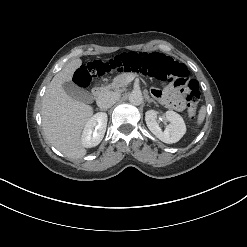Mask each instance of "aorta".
<instances>
[{"mask_svg":"<svg viewBox=\"0 0 247 247\" xmlns=\"http://www.w3.org/2000/svg\"><path fill=\"white\" fill-rule=\"evenodd\" d=\"M129 102L133 105H140L143 102V96L140 91H132L129 94Z\"/></svg>","mask_w":247,"mask_h":247,"instance_id":"aorta-1","label":"aorta"}]
</instances>
